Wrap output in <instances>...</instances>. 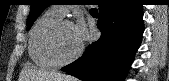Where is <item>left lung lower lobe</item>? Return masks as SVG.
<instances>
[{
    "label": "left lung lower lobe",
    "instance_id": "0a47b994",
    "mask_svg": "<svg viewBox=\"0 0 169 81\" xmlns=\"http://www.w3.org/2000/svg\"><path fill=\"white\" fill-rule=\"evenodd\" d=\"M98 41L61 70L82 81H123L144 31L142 4L136 0H100Z\"/></svg>",
    "mask_w": 169,
    "mask_h": 81
}]
</instances>
